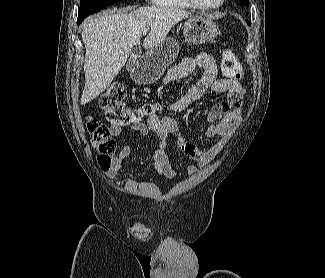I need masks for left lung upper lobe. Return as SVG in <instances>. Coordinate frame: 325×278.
<instances>
[{"instance_id": "obj_1", "label": "left lung upper lobe", "mask_w": 325, "mask_h": 278, "mask_svg": "<svg viewBox=\"0 0 325 278\" xmlns=\"http://www.w3.org/2000/svg\"><path fill=\"white\" fill-rule=\"evenodd\" d=\"M240 3L244 4V5H248L249 1L248 0H239Z\"/></svg>"}]
</instances>
